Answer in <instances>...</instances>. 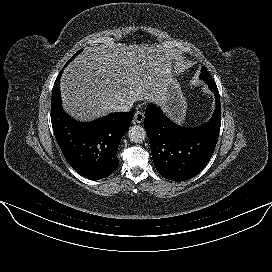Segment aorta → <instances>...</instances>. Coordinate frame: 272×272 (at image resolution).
Masks as SVG:
<instances>
[{
  "mask_svg": "<svg viewBox=\"0 0 272 272\" xmlns=\"http://www.w3.org/2000/svg\"><path fill=\"white\" fill-rule=\"evenodd\" d=\"M128 136L134 143H141L146 138V131L142 126L134 125L129 128Z\"/></svg>",
  "mask_w": 272,
  "mask_h": 272,
  "instance_id": "aorta-1",
  "label": "aorta"
}]
</instances>
